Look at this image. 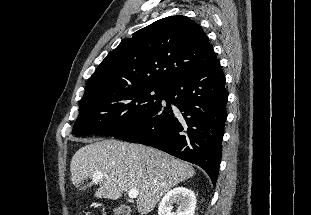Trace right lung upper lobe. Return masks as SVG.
I'll return each instance as SVG.
<instances>
[{"mask_svg": "<svg viewBox=\"0 0 311 215\" xmlns=\"http://www.w3.org/2000/svg\"><path fill=\"white\" fill-rule=\"evenodd\" d=\"M216 60L199 24L186 16H169L122 40L89 78L83 98L134 87H164Z\"/></svg>", "mask_w": 311, "mask_h": 215, "instance_id": "obj_1", "label": "right lung upper lobe"}]
</instances>
